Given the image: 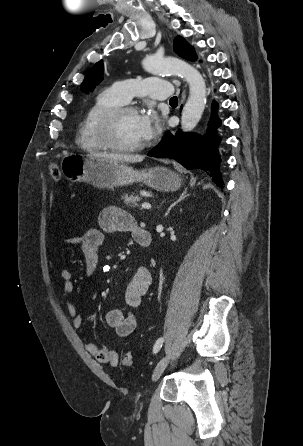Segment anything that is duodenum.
<instances>
[{"mask_svg":"<svg viewBox=\"0 0 303 446\" xmlns=\"http://www.w3.org/2000/svg\"><path fill=\"white\" fill-rule=\"evenodd\" d=\"M136 242L144 247H148L151 243V236L147 230H141L136 236Z\"/></svg>","mask_w":303,"mask_h":446,"instance_id":"1","label":"duodenum"}]
</instances>
